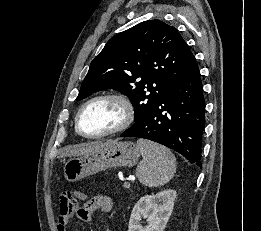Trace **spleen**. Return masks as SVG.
Here are the masks:
<instances>
[{"label": "spleen", "mask_w": 261, "mask_h": 231, "mask_svg": "<svg viewBox=\"0 0 261 231\" xmlns=\"http://www.w3.org/2000/svg\"><path fill=\"white\" fill-rule=\"evenodd\" d=\"M142 154V161L136 169L139 181L148 187L163 186L169 182L176 172V158L164 146L149 140H137Z\"/></svg>", "instance_id": "obj_1"}]
</instances>
